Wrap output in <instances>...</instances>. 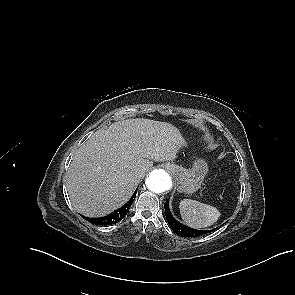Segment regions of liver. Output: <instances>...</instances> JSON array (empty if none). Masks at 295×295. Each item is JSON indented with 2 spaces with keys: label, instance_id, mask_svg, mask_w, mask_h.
Wrapping results in <instances>:
<instances>
[{
  "label": "liver",
  "instance_id": "6515ba94",
  "mask_svg": "<svg viewBox=\"0 0 295 295\" xmlns=\"http://www.w3.org/2000/svg\"><path fill=\"white\" fill-rule=\"evenodd\" d=\"M186 142L167 122L127 119L96 131L75 153L67 190L74 209L102 217L121 207L153 166L173 161Z\"/></svg>",
  "mask_w": 295,
  "mask_h": 295
}]
</instances>
